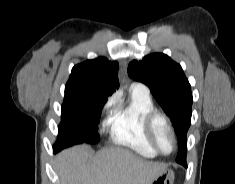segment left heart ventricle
Wrapping results in <instances>:
<instances>
[{
  "label": "left heart ventricle",
  "instance_id": "obj_1",
  "mask_svg": "<svg viewBox=\"0 0 235 184\" xmlns=\"http://www.w3.org/2000/svg\"><path fill=\"white\" fill-rule=\"evenodd\" d=\"M156 140L163 152L171 153L173 151L175 144L173 135L170 130L163 124H160L157 128Z\"/></svg>",
  "mask_w": 235,
  "mask_h": 184
}]
</instances>
